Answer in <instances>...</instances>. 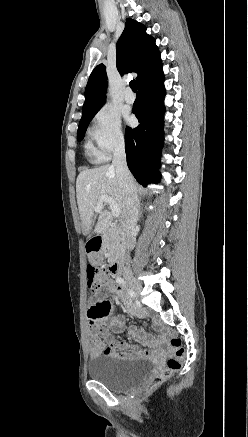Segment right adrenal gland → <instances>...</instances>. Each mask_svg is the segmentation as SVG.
<instances>
[{
  "label": "right adrenal gland",
  "mask_w": 248,
  "mask_h": 437,
  "mask_svg": "<svg viewBox=\"0 0 248 437\" xmlns=\"http://www.w3.org/2000/svg\"><path fill=\"white\" fill-rule=\"evenodd\" d=\"M141 214H142V211H140V214H139V215L141 216Z\"/></svg>",
  "instance_id": "obj_1"
}]
</instances>
